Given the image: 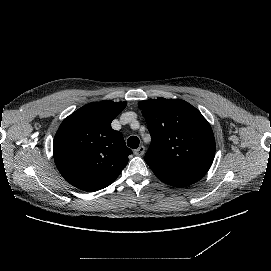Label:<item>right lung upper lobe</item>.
Returning <instances> with one entry per match:
<instances>
[{"label": "right lung upper lobe", "instance_id": "1", "mask_svg": "<svg viewBox=\"0 0 271 271\" xmlns=\"http://www.w3.org/2000/svg\"><path fill=\"white\" fill-rule=\"evenodd\" d=\"M126 105L111 100L90 103L61 123L53 141V154L69 184L97 191L110 185L125 168L132 151L122 134L111 128V122Z\"/></svg>", "mask_w": 271, "mask_h": 271}]
</instances>
